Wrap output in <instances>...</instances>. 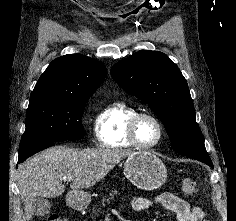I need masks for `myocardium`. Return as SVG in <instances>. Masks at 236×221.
<instances>
[{
  "label": "myocardium",
  "mask_w": 236,
  "mask_h": 221,
  "mask_svg": "<svg viewBox=\"0 0 236 221\" xmlns=\"http://www.w3.org/2000/svg\"><path fill=\"white\" fill-rule=\"evenodd\" d=\"M143 118H148L152 120L156 124L158 128V132H159L157 140L154 143L149 144V145H144L140 143L136 135L137 125L139 121ZM164 134H165V130H164V126L161 120L152 113L138 112L135 115H133L131 119L129 120L128 127H127V138L129 142L138 149L148 150V149L157 147L161 143L164 137Z\"/></svg>",
  "instance_id": "f54148a6"
}]
</instances>
